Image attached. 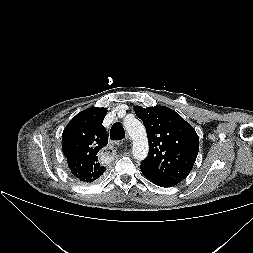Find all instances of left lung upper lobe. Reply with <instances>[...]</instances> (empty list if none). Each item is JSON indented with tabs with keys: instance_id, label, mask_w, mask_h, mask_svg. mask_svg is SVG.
<instances>
[{
	"instance_id": "obj_1",
	"label": "left lung upper lobe",
	"mask_w": 253,
	"mask_h": 253,
	"mask_svg": "<svg viewBox=\"0 0 253 253\" xmlns=\"http://www.w3.org/2000/svg\"><path fill=\"white\" fill-rule=\"evenodd\" d=\"M134 111L143 121L149 143L148 156L140 165L142 173L151 180L178 184L190 173L199 151L195 129L165 106H135Z\"/></svg>"
}]
</instances>
